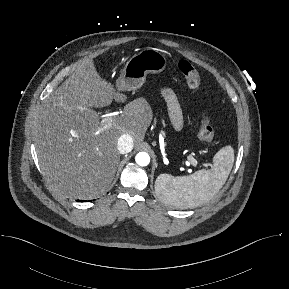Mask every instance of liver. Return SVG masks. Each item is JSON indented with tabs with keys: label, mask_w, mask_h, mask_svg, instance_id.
I'll return each mask as SVG.
<instances>
[{
	"label": "liver",
	"mask_w": 289,
	"mask_h": 289,
	"mask_svg": "<svg viewBox=\"0 0 289 289\" xmlns=\"http://www.w3.org/2000/svg\"><path fill=\"white\" fill-rule=\"evenodd\" d=\"M118 103L127 96L102 79L92 59L74 72L45 100L35 125V147L43 176L60 195L93 199L113 181L120 161L117 142L130 134L143 141L152 120L148 103L139 98L104 128L95 108Z\"/></svg>",
	"instance_id": "liver-1"
}]
</instances>
